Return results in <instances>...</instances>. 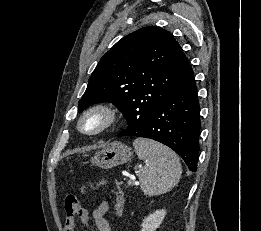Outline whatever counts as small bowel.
<instances>
[{
  "instance_id": "small-bowel-1",
  "label": "small bowel",
  "mask_w": 261,
  "mask_h": 231,
  "mask_svg": "<svg viewBox=\"0 0 261 231\" xmlns=\"http://www.w3.org/2000/svg\"><path fill=\"white\" fill-rule=\"evenodd\" d=\"M107 181L105 179L98 180L96 182V187L106 186ZM121 201L123 198L119 196ZM109 205L106 201L100 202L92 212V219L95 226V231H112L109 222L107 221L105 215L108 212ZM84 215L83 217L89 221L90 219V210L88 208L83 209ZM82 220V219H81ZM83 221V220H82ZM84 222V221H83ZM64 231H76L75 221H67L65 220Z\"/></svg>"
}]
</instances>
